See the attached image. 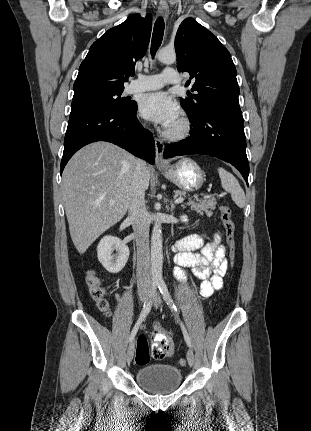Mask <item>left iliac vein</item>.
Returning <instances> with one entry per match:
<instances>
[{
    "mask_svg": "<svg viewBox=\"0 0 311 431\" xmlns=\"http://www.w3.org/2000/svg\"><path fill=\"white\" fill-rule=\"evenodd\" d=\"M153 301H154V306L156 307V308H158V306L160 305V303H161V300H160V296L156 293L155 294V296H154V298H153ZM187 360H188V364L190 365V366H193L194 365V362H195V356H194V353H193V351L191 350V349H188V351H187Z\"/></svg>",
    "mask_w": 311,
    "mask_h": 431,
    "instance_id": "1",
    "label": "left iliac vein"
}]
</instances>
